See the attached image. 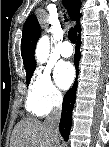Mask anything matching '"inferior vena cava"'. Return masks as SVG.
I'll list each match as a JSON object with an SVG mask.
<instances>
[{
	"label": "inferior vena cava",
	"instance_id": "inferior-vena-cava-1",
	"mask_svg": "<svg viewBox=\"0 0 109 147\" xmlns=\"http://www.w3.org/2000/svg\"><path fill=\"white\" fill-rule=\"evenodd\" d=\"M62 111V98L59 99L58 103L52 109L50 115L46 118L45 124L49 127L53 147H60V136H59V122Z\"/></svg>",
	"mask_w": 109,
	"mask_h": 147
}]
</instances>
